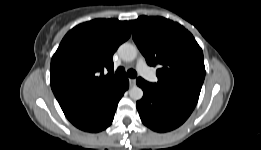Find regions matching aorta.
<instances>
[{"mask_svg": "<svg viewBox=\"0 0 261 150\" xmlns=\"http://www.w3.org/2000/svg\"><path fill=\"white\" fill-rule=\"evenodd\" d=\"M118 54L122 60L130 62L137 57V48L131 43H123L118 48ZM129 96L133 100H140L143 97V90L138 86H133L129 90Z\"/></svg>", "mask_w": 261, "mask_h": 150, "instance_id": "obj_1", "label": "aorta"}]
</instances>
